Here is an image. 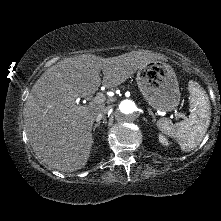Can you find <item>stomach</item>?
<instances>
[{
    "label": "stomach",
    "mask_w": 221,
    "mask_h": 221,
    "mask_svg": "<svg viewBox=\"0 0 221 221\" xmlns=\"http://www.w3.org/2000/svg\"><path fill=\"white\" fill-rule=\"evenodd\" d=\"M137 85L150 106L161 111L174 110L180 101L176 73L171 65L154 60L140 68Z\"/></svg>",
    "instance_id": "obj_1"
}]
</instances>
